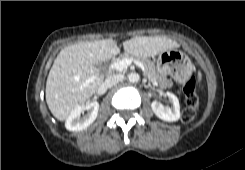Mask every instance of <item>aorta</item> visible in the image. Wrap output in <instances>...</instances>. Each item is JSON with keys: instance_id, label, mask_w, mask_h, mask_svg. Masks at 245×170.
I'll return each instance as SVG.
<instances>
[{"instance_id": "obj_1", "label": "aorta", "mask_w": 245, "mask_h": 170, "mask_svg": "<svg viewBox=\"0 0 245 170\" xmlns=\"http://www.w3.org/2000/svg\"><path fill=\"white\" fill-rule=\"evenodd\" d=\"M128 80L129 82L136 83L140 80V76L139 74L132 72L128 75Z\"/></svg>"}]
</instances>
